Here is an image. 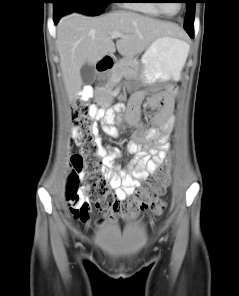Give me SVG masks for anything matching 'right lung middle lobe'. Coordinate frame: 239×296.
Returning a JSON list of instances; mask_svg holds the SVG:
<instances>
[{
	"label": "right lung middle lobe",
	"mask_w": 239,
	"mask_h": 296,
	"mask_svg": "<svg viewBox=\"0 0 239 296\" xmlns=\"http://www.w3.org/2000/svg\"><path fill=\"white\" fill-rule=\"evenodd\" d=\"M111 0H54V7H57L63 14L78 11L87 15H99Z\"/></svg>",
	"instance_id": "obj_1"
}]
</instances>
